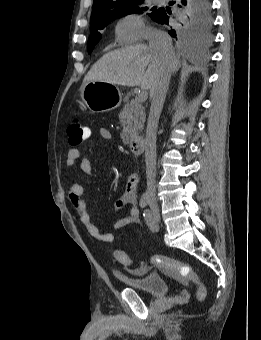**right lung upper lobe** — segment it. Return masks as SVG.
I'll list each match as a JSON object with an SVG mask.
<instances>
[{"mask_svg": "<svg viewBox=\"0 0 261 340\" xmlns=\"http://www.w3.org/2000/svg\"><path fill=\"white\" fill-rule=\"evenodd\" d=\"M143 0H94L90 23L117 15L122 9Z\"/></svg>", "mask_w": 261, "mask_h": 340, "instance_id": "obj_1", "label": "right lung upper lobe"}]
</instances>
